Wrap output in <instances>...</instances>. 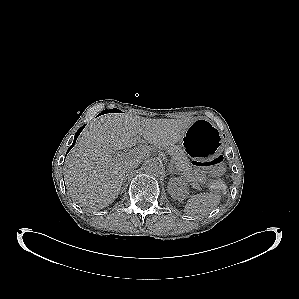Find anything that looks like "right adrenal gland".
Instances as JSON below:
<instances>
[{"mask_svg": "<svg viewBox=\"0 0 299 299\" xmlns=\"http://www.w3.org/2000/svg\"><path fill=\"white\" fill-rule=\"evenodd\" d=\"M126 180H127V178L125 177L124 182H126ZM122 190H123V187H122Z\"/></svg>", "mask_w": 299, "mask_h": 299, "instance_id": "obj_1", "label": "right adrenal gland"}]
</instances>
